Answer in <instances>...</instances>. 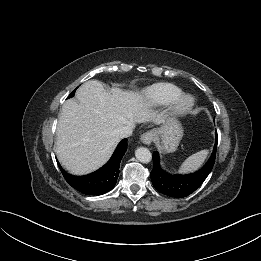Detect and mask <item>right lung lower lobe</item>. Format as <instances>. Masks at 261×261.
Returning <instances> with one entry per match:
<instances>
[{
	"mask_svg": "<svg viewBox=\"0 0 261 261\" xmlns=\"http://www.w3.org/2000/svg\"><path fill=\"white\" fill-rule=\"evenodd\" d=\"M127 151V139H123L115 149L111 159L99 170L84 176H73L64 171L58 163L65 180L77 191L85 195H101L111 191L119 175L122 157Z\"/></svg>",
	"mask_w": 261,
	"mask_h": 261,
	"instance_id": "98d812e1",
	"label": "right lung lower lobe"
}]
</instances>
